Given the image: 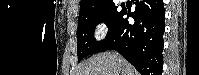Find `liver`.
Listing matches in <instances>:
<instances>
[{
    "instance_id": "6515ba94",
    "label": "liver",
    "mask_w": 199,
    "mask_h": 75,
    "mask_svg": "<svg viewBox=\"0 0 199 75\" xmlns=\"http://www.w3.org/2000/svg\"><path fill=\"white\" fill-rule=\"evenodd\" d=\"M76 75H139L134 67L116 53L105 52L80 64Z\"/></svg>"
}]
</instances>
